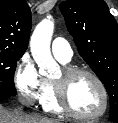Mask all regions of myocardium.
I'll use <instances>...</instances> for the list:
<instances>
[{
	"instance_id": "obj_1",
	"label": "myocardium",
	"mask_w": 118,
	"mask_h": 123,
	"mask_svg": "<svg viewBox=\"0 0 118 123\" xmlns=\"http://www.w3.org/2000/svg\"><path fill=\"white\" fill-rule=\"evenodd\" d=\"M63 79L60 82L52 81V86L54 90L55 99L61 110L73 118L79 120L92 121L102 118L108 111L109 107V94L104 82L100 77L92 72L91 70L85 68L66 66L62 69ZM86 75L94 80L98 85L101 93L103 104L101 110L94 115H84L77 112L70 104L67 96V84L75 77Z\"/></svg>"
}]
</instances>
